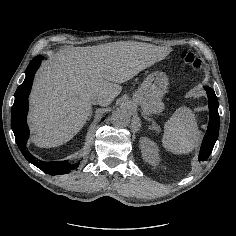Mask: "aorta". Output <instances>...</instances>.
I'll return each instance as SVG.
<instances>
[{
    "label": "aorta",
    "mask_w": 236,
    "mask_h": 236,
    "mask_svg": "<svg viewBox=\"0 0 236 236\" xmlns=\"http://www.w3.org/2000/svg\"><path fill=\"white\" fill-rule=\"evenodd\" d=\"M111 120L114 126L118 128L127 127L130 124V115L124 109H117L112 113Z\"/></svg>",
    "instance_id": "1"
}]
</instances>
